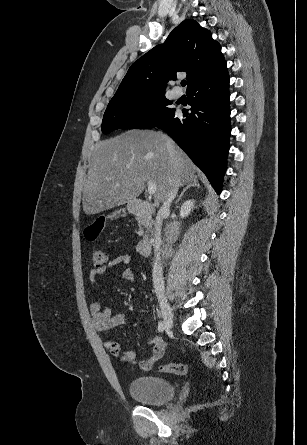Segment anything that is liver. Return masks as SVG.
I'll list each match as a JSON object with an SVG mask.
<instances>
[{"label":"liver","mask_w":307,"mask_h":445,"mask_svg":"<svg viewBox=\"0 0 307 445\" xmlns=\"http://www.w3.org/2000/svg\"><path fill=\"white\" fill-rule=\"evenodd\" d=\"M166 140L167 134L155 130H127L96 142L83 188L85 214L130 202L143 192L148 178L157 186L156 202L166 200L175 174L190 184L195 164L177 144L172 154L168 152Z\"/></svg>","instance_id":"1"}]
</instances>
